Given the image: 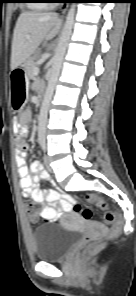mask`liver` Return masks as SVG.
Listing matches in <instances>:
<instances>
[{
	"mask_svg": "<svg viewBox=\"0 0 136 296\" xmlns=\"http://www.w3.org/2000/svg\"><path fill=\"white\" fill-rule=\"evenodd\" d=\"M61 24L56 13L22 12L13 33L11 69L14 70L27 61L43 40L54 38L59 33Z\"/></svg>",
	"mask_w": 136,
	"mask_h": 296,
	"instance_id": "liver-1",
	"label": "liver"
}]
</instances>
